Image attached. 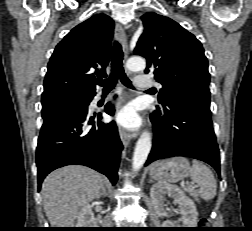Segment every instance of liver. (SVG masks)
Returning a JSON list of instances; mask_svg holds the SVG:
<instances>
[{"instance_id": "obj_1", "label": "liver", "mask_w": 252, "mask_h": 231, "mask_svg": "<svg viewBox=\"0 0 252 231\" xmlns=\"http://www.w3.org/2000/svg\"><path fill=\"white\" fill-rule=\"evenodd\" d=\"M102 188V176L84 166H66L50 173L41 191L52 228L74 226L78 211L97 198Z\"/></svg>"}]
</instances>
